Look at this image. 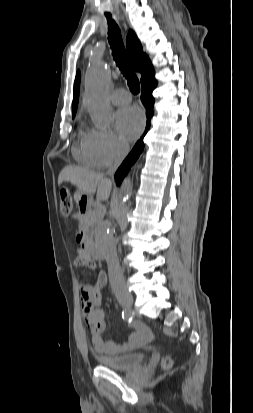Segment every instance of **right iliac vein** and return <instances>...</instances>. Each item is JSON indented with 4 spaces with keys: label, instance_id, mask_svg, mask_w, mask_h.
<instances>
[{
    "label": "right iliac vein",
    "instance_id": "1",
    "mask_svg": "<svg viewBox=\"0 0 253 413\" xmlns=\"http://www.w3.org/2000/svg\"><path fill=\"white\" fill-rule=\"evenodd\" d=\"M119 302L126 308H130L133 304V296L129 293L118 294Z\"/></svg>",
    "mask_w": 253,
    "mask_h": 413
}]
</instances>
